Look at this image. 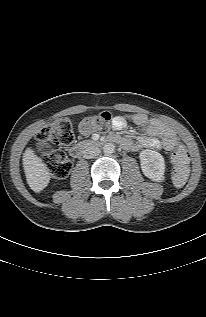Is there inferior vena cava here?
Wrapping results in <instances>:
<instances>
[{
    "instance_id": "1",
    "label": "inferior vena cava",
    "mask_w": 206,
    "mask_h": 317,
    "mask_svg": "<svg viewBox=\"0 0 206 317\" xmlns=\"http://www.w3.org/2000/svg\"><path fill=\"white\" fill-rule=\"evenodd\" d=\"M100 154V149L94 145L86 146L83 150V157L91 159Z\"/></svg>"
}]
</instances>
